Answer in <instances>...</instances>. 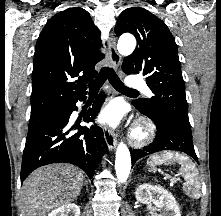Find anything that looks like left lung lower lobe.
Here are the masks:
<instances>
[{"instance_id":"0a47b994","label":"left lung lower lobe","mask_w":221,"mask_h":216,"mask_svg":"<svg viewBox=\"0 0 221 216\" xmlns=\"http://www.w3.org/2000/svg\"><path fill=\"white\" fill-rule=\"evenodd\" d=\"M133 104L141 113L152 119L157 127V133L153 143L143 149H130L133 165L138 159L163 150L184 152L198 162L190 128L169 118H158L149 115L142 111L136 103Z\"/></svg>"}]
</instances>
